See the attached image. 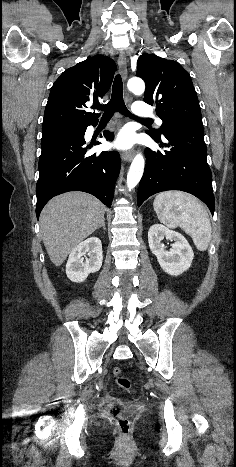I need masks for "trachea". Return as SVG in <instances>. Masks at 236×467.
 <instances>
[{
  "label": "trachea",
  "instance_id": "3493384b",
  "mask_svg": "<svg viewBox=\"0 0 236 467\" xmlns=\"http://www.w3.org/2000/svg\"><path fill=\"white\" fill-rule=\"evenodd\" d=\"M97 109L102 110L104 112L102 119H110L115 112H120L124 116L130 117L137 121L153 122L152 119L138 118L137 116H134L128 111L123 100V82L119 74L115 76L113 82L110 102L107 105L98 106Z\"/></svg>",
  "mask_w": 236,
  "mask_h": 467
}]
</instances>
